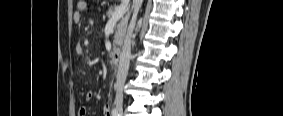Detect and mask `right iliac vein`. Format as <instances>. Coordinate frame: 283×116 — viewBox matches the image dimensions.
Instances as JSON below:
<instances>
[{"instance_id": "63e3f726", "label": "right iliac vein", "mask_w": 283, "mask_h": 116, "mask_svg": "<svg viewBox=\"0 0 283 116\" xmlns=\"http://www.w3.org/2000/svg\"><path fill=\"white\" fill-rule=\"evenodd\" d=\"M118 112H119L120 115H122V108L119 107Z\"/></svg>"}]
</instances>
